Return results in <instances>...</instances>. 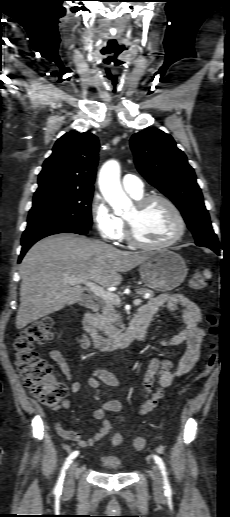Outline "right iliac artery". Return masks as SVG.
I'll return each mask as SVG.
<instances>
[{"instance_id":"obj_1","label":"right iliac artery","mask_w":230,"mask_h":517,"mask_svg":"<svg viewBox=\"0 0 230 517\" xmlns=\"http://www.w3.org/2000/svg\"><path fill=\"white\" fill-rule=\"evenodd\" d=\"M79 452L78 451H74L72 452L66 459L63 467H62V470H61V473H60V476L58 478V482H57V485L55 487V490L56 491H61L62 489V484H63V481H64V477H65V471L66 469L69 467V465L71 464L72 460L75 459L77 456H78Z\"/></svg>"}]
</instances>
